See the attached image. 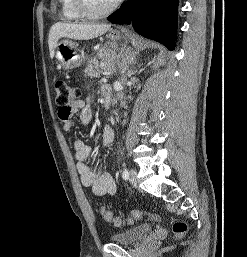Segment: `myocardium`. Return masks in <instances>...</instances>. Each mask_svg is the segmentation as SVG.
I'll return each instance as SVG.
<instances>
[{"mask_svg":"<svg viewBox=\"0 0 247 257\" xmlns=\"http://www.w3.org/2000/svg\"><path fill=\"white\" fill-rule=\"evenodd\" d=\"M122 0H115L107 8L95 11L90 6L87 0H74L75 7L79 14L85 19H99L111 14L119 6Z\"/></svg>","mask_w":247,"mask_h":257,"instance_id":"myocardium-1","label":"myocardium"}]
</instances>
